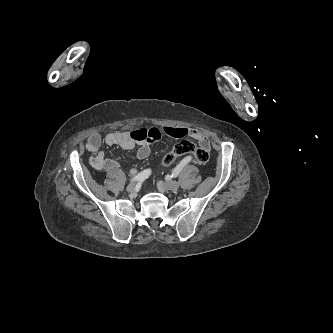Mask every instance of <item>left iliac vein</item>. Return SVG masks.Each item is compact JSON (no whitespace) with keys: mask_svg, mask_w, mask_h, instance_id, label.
Returning <instances> with one entry per match:
<instances>
[{"mask_svg":"<svg viewBox=\"0 0 333 333\" xmlns=\"http://www.w3.org/2000/svg\"><path fill=\"white\" fill-rule=\"evenodd\" d=\"M179 183L177 181H171L168 183L159 182L158 188L160 191H174L179 188Z\"/></svg>","mask_w":333,"mask_h":333,"instance_id":"left-iliac-vein-1","label":"left iliac vein"}]
</instances>
